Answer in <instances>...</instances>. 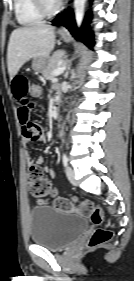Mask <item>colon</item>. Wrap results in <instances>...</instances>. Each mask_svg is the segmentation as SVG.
I'll list each match as a JSON object with an SVG mask.
<instances>
[{
    "label": "colon",
    "mask_w": 134,
    "mask_h": 281,
    "mask_svg": "<svg viewBox=\"0 0 134 281\" xmlns=\"http://www.w3.org/2000/svg\"><path fill=\"white\" fill-rule=\"evenodd\" d=\"M43 87L40 83L33 82L29 86V95L33 99L41 97ZM27 184L31 194L37 198H43L55 191L48 179L44 177L43 170L40 166L33 165L29 167L27 173ZM53 206L65 212H78L90 218L95 224H100L103 221L104 213L101 208L95 206L89 200H83L78 205H75L71 200L63 197H58L53 201ZM113 233L105 228H98L92 234L89 240V246L96 247L110 241Z\"/></svg>",
    "instance_id": "5ec220e1"
}]
</instances>
